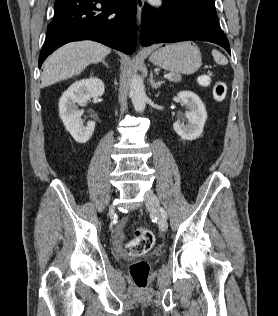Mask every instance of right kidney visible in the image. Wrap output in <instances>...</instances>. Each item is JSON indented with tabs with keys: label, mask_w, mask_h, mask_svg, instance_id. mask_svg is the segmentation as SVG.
I'll return each instance as SVG.
<instances>
[{
	"label": "right kidney",
	"mask_w": 278,
	"mask_h": 316,
	"mask_svg": "<svg viewBox=\"0 0 278 316\" xmlns=\"http://www.w3.org/2000/svg\"><path fill=\"white\" fill-rule=\"evenodd\" d=\"M102 80L96 77L82 79L73 83L59 100V114L65 128L78 143H86L95 129V122L89 121L86 126L81 121L83 111L77 110V104L86 103L92 97L104 94Z\"/></svg>",
	"instance_id": "right-kidney-1"
}]
</instances>
